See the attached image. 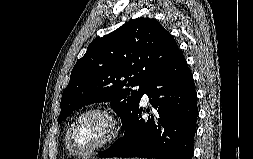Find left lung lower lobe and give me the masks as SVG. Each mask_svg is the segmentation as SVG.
<instances>
[{"instance_id": "1", "label": "left lung lower lobe", "mask_w": 253, "mask_h": 159, "mask_svg": "<svg viewBox=\"0 0 253 159\" xmlns=\"http://www.w3.org/2000/svg\"><path fill=\"white\" fill-rule=\"evenodd\" d=\"M154 110L148 119L138 106L123 130L124 136L100 157L192 159L198 116L193 76L180 51L144 88ZM142 94V95H143Z\"/></svg>"}]
</instances>
